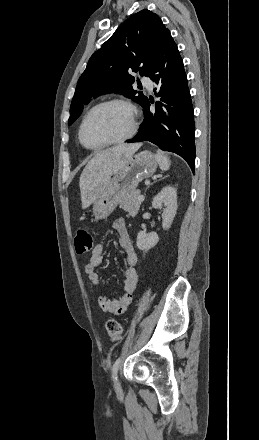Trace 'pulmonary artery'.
<instances>
[{
  "label": "pulmonary artery",
  "mask_w": 259,
  "mask_h": 440,
  "mask_svg": "<svg viewBox=\"0 0 259 440\" xmlns=\"http://www.w3.org/2000/svg\"><path fill=\"white\" fill-rule=\"evenodd\" d=\"M142 83H143V85H144L147 89L152 90V88H153V82H152V80H151L150 78H148V77H143V78H142Z\"/></svg>",
  "instance_id": "pulmonary-artery-1"
}]
</instances>
